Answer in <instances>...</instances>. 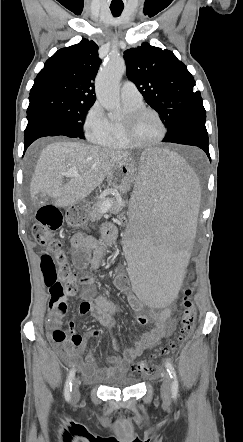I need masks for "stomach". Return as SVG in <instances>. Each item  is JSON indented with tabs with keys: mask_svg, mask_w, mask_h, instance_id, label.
Wrapping results in <instances>:
<instances>
[{
	"mask_svg": "<svg viewBox=\"0 0 243 442\" xmlns=\"http://www.w3.org/2000/svg\"><path fill=\"white\" fill-rule=\"evenodd\" d=\"M136 164L131 158H126L117 163L109 172L107 181L113 189L126 193L130 190L133 181ZM88 206L78 202L66 210L65 219L69 226L81 227L88 219Z\"/></svg>",
	"mask_w": 243,
	"mask_h": 442,
	"instance_id": "stomach-1",
	"label": "stomach"
}]
</instances>
